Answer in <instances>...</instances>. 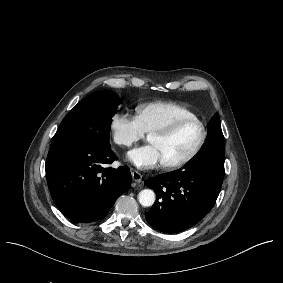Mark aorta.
Instances as JSON below:
<instances>
[{
    "label": "aorta",
    "mask_w": 283,
    "mask_h": 283,
    "mask_svg": "<svg viewBox=\"0 0 283 283\" xmlns=\"http://www.w3.org/2000/svg\"><path fill=\"white\" fill-rule=\"evenodd\" d=\"M139 203L144 207H150L155 202V193L151 189L141 190L138 194Z\"/></svg>",
    "instance_id": "1"
}]
</instances>
